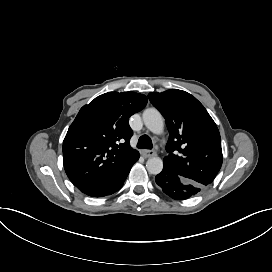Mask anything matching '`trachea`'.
Masks as SVG:
<instances>
[{
    "mask_svg": "<svg viewBox=\"0 0 272 272\" xmlns=\"http://www.w3.org/2000/svg\"><path fill=\"white\" fill-rule=\"evenodd\" d=\"M137 147L141 148V149H151L152 148V141H151L150 137L148 135H142L139 138Z\"/></svg>",
    "mask_w": 272,
    "mask_h": 272,
    "instance_id": "trachea-1",
    "label": "trachea"
}]
</instances>
